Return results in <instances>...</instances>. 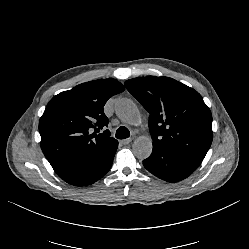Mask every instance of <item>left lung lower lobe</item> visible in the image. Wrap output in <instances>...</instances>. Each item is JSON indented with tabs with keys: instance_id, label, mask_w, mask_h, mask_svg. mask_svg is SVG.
Here are the masks:
<instances>
[{
	"instance_id": "1",
	"label": "left lung lower lobe",
	"mask_w": 249,
	"mask_h": 249,
	"mask_svg": "<svg viewBox=\"0 0 249 249\" xmlns=\"http://www.w3.org/2000/svg\"><path fill=\"white\" fill-rule=\"evenodd\" d=\"M202 160L153 145V152L143 160V165L160 179L178 182L191 175Z\"/></svg>"
}]
</instances>
